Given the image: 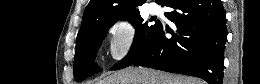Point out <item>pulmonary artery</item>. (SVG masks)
I'll use <instances>...</instances> for the list:
<instances>
[{
  "mask_svg": "<svg viewBox=\"0 0 260 84\" xmlns=\"http://www.w3.org/2000/svg\"><path fill=\"white\" fill-rule=\"evenodd\" d=\"M148 10L151 14H156L159 12V6L155 3H150L148 5Z\"/></svg>",
  "mask_w": 260,
  "mask_h": 84,
  "instance_id": "e3ab8cb5",
  "label": "pulmonary artery"
}]
</instances>
